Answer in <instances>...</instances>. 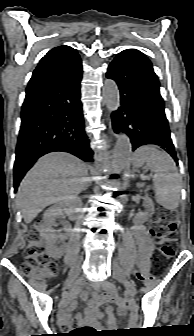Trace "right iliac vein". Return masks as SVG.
Returning <instances> with one entry per match:
<instances>
[{
    "instance_id": "obj_1",
    "label": "right iliac vein",
    "mask_w": 194,
    "mask_h": 336,
    "mask_svg": "<svg viewBox=\"0 0 194 336\" xmlns=\"http://www.w3.org/2000/svg\"><path fill=\"white\" fill-rule=\"evenodd\" d=\"M83 259H79V261L76 263V265L72 268V270L69 273V276L66 280L65 285L70 286L78 277L81 271V266H82Z\"/></svg>"
}]
</instances>
